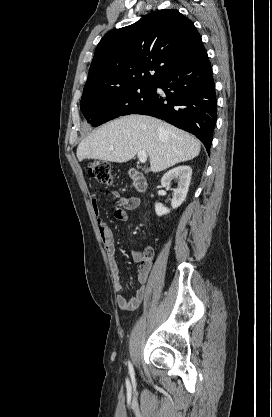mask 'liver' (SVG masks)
Wrapping results in <instances>:
<instances>
[{
	"label": "liver",
	"instance_id": "obj_1",
	"mask_svg": "<svg viewBox=\"0 0 272 417\" xmlns=\"http://www.w3.org/2000/svg\"><path fill=\"white\" fill-rule=\"evenodd\" d=\"M200 142L189 133L159 119L128 115L110 121L81 141L77 158L124 163L146 151L152 172L197 157Z\"/></svg>",
	"mask_w": 272,
	"mask_h": 417
}]
</instances>
